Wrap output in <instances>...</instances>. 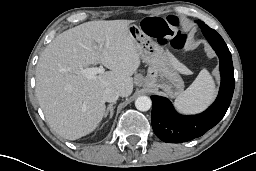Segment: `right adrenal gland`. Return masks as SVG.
<instances>
[{
  "label": "right adrenal gland",
  "instance_id": "right-adrenal-gland-1",
  "mask_svg": "<svg viewBox=\"0 0 256 171\" xmlns=\"http://www.w3.org/2000/svg\"><path fill=\"white\" fill-rule=\"evenodd\" d=\"M114 105H115V102L111 103L108 105L107 109L105 110V113H104V118H106L109 114V118L108 120H110L113 116V113H114Z\"/></svg>",
  "mask_w": 256,
  "mask_h": 171
}]
</instances>
